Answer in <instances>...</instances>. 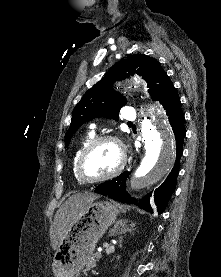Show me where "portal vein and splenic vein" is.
I'll return each mask as SVG.
<instances>
[{
  "instance_id": "18ae733b",
  "label": "portal vein and splenic vein",
  "mask_w": 221,
  "mask_h": 277,
  "mask_svg": "<svg viewBox=\"0 0 221 277\" xmlns=\"http://www.w3.org/2000/svg\"><path fill=\"white\" fill-rule=\"evenodd\" d=\"M96 255H97V257H100L101 253L98 251V252H96Z\"/></svg>"
}]
</instances>
